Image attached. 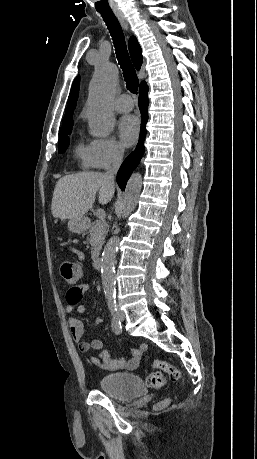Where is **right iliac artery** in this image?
Segmentation results:
<instances>
[{"instance_id":"1","label":"right iliac artery","mask_w":257,"mask_h":459,"mask_svg":"<svg viewBox=\"0 0 257 459\" xmlns=\"http://www.w3.org/2000/svg\"><path fill=\"white\" fill-rule=\"evenodd\" d=\"M107 299H108L109 308L113 315L112 330L114 331L115 334L118 335L122 332V325H121L120 319L118 318L116 300L114 296H109Z\"/></svg>"}]
</instances>
